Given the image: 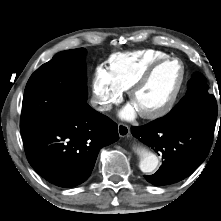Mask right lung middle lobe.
I'll return each mask as SVG.
<instances>
[{
  "mask_svg": "<svg viewBox=\"0 0 221 221\" xmlns=\"http://www.w3.org/2000/svg\"><path fill=\"white\" fill-rule=\"evenodd\" d=\"M84 48L57 53L27 82L20 130L54 124L76 111L88 98Z\"/></svg>",
  "mask_w": 221,
  "mask_h": 221,
  "instance_id": "dd1d6c3e",
  "label": "right lung middle lobe"
}]
</instances>
